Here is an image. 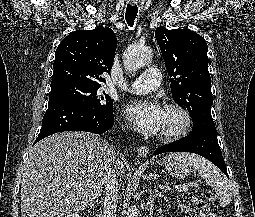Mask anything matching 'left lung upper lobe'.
<instances>
[{"instance_id":"5c2ea615","label":"left lung upper lobe","mask_w":255,"mask_h":217,"mask_svg":"<svg viewBox=\"0 0 255 217\" xmlns=\"http://www.w3.org/2000/svg\"><path fill=\"white\" fill-rule=\"evenodd\" d=\"M155 37L171 78L174 101L187 108L193 128L214 125L208 46L204 38L189 29L168 30L164 26L156 29Z\"/></svg>"}]
</instances>
